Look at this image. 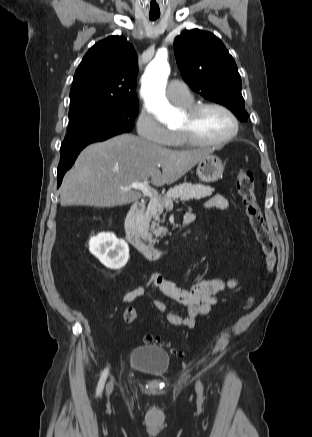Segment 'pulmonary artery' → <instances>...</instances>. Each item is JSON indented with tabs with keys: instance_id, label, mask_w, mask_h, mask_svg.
<instances>
[{
	"instance_id": "pulmonary-artery-1",
	"label": "pulmonary artery",
	"mask_w": 312,
	"mask_h": 437,
	"mask_svg": "<svg viewBox=\"0 0 312 437\" xmlns=\"http://www.w3.org/2000/svg\"><path fill=\"white\" fill-rule=\"evenodd\" d=\"M166 95L170 101L180 106L192 101V96L187 85L178 80H172L168 83Z\"/></svg>"
}]
</instances>
